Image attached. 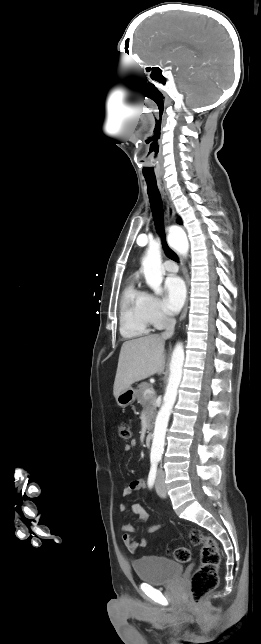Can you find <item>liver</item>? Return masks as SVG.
Segmentation results:
<instances>
[{
  "instance_id": "obj_1",
  "label": "liver",
  "mask_w": 261,
  "mask_h": 644,
  "mask_svg": "<svg viewBox=\"0 0 261 644\" xmlns=\"http://www.w3.org/2000/svg\"><path fill=\"white\" fill-rule=\"evenodd\" d=\"M164 345L165 338L160 335H149L123 343L113 386L115 398L133 383L163 373Z\"/></svg>"
}]
</instances>
